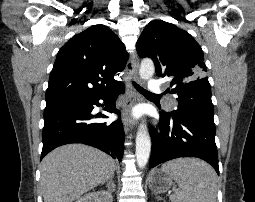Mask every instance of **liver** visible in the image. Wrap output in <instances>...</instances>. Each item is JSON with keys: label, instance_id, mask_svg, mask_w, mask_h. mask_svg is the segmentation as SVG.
<instances>
[{"label": "liver", "instance_id": "liver-1", "mask_svg": "<svg viewBox=\"0 0 255 202\" xmlns=\"http://www.w3.org/2000/svg\"><path fill=\"white\" fill-rule=\"evenodd\" d=\"M116 161L93 147L68 144L41 163L44 202H72L114 175Z\"/></svg>", "mask_w": 255, "mask_h": 202}]
</instances>
